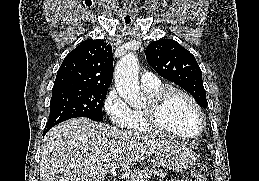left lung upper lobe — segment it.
<instances>
[{"label":"left lung upper lobe","instance_id":"5c2ea615","mask_svg":"<svg viewBox=\"0 0 259 181\" xmlns=\"http://www.w3.org/2000/svg\"><path fill=\"white\" fill-rule=\"evenodd\" d=\"M145 54L159 75L184 88L201 107L207 108L202 71L187 49L172 39H161L149 44Z\"/></svg>","mask_w":259,"mask_h":181}]
</instances>
